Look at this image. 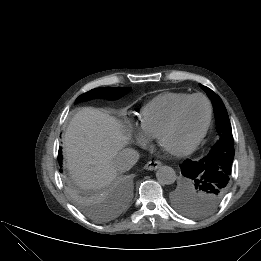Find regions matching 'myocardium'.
<instances>
[{
  "label": "myocardium",
  "instance_id": "obj_1",
  "mask_svg": "<svg viewBox=\"0 0 261 261\" xmlns=\"http://www.w3.org/2000/svg\"><path fill=\"white\" fill-rule=\"evenodd\" d=\"M195 99H202L204 100V102L207 105V118H206V122L204 124L203 129L201 130V132L199 133V135L187 146L180 148V149H176V150H169L173 155L175 156H186L190 153H192L194 150L197 149V147L201 144V142L203 141V139L205 138L209 127L211 125V121H212V114H213V108H212V104L210 102V100L208 99V97H206L203 94H193L190 95L189 97H187L185 100H183L181 103H179L177 105V107L173 110V112L171 113L170 117L168 118L167 122L164 124V126L161 128L160 132L157 135V142L159 145L163 146V139L165 137V135L174 127V125L176 124L178 117L182 111V109L192 100Z\"/></svg>",
  "mask_w": 261,
  "mask_h": 261
}]
</instances>
